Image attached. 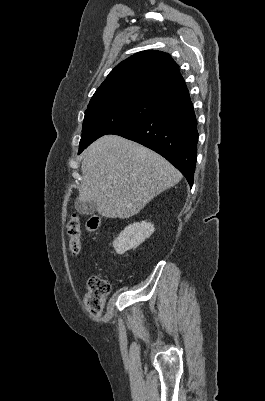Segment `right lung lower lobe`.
<instances>
[{"instance_id": "right-lung-lower-lobe-1", "label": "right lung lower lobe", "mask_w": 265, "mask_h": 401, "mask_svg": "<svg viewBox=\"0 0 265 401\" xmlns=\"http://www.w3.org/2000/svg\"><path fill=\"white\" fill-rule=\"evenodd\" d=\"M110 134L138 142L166 158L193 185L197 158V119L190 95L166 102L157 111Z\"/></svg>"}]
</instances>
